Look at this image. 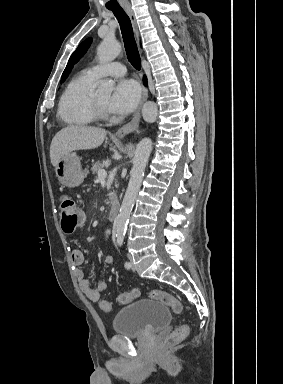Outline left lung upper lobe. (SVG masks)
<instances>
[{"mask_svg":"<svg viewBox=\"0 0 283 384\" xmlns=\"http://www.w3.org/2000/svg\"><path fill=\"white\" fill-rule=\"evenodd\" d=\"M92 39L88 38L85 41H83L78 48L74 51V53L71 55L68 64L62 74L61 82H63L68 74L70 73L73 65L86 53L89 45L91 44Z\"/></svg>","mask_w":283,"mask_h":384,"instance_id":"1","label":"left lung upper lobe"}]
</instances>
